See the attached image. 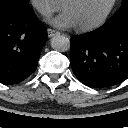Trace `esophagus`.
<instances>
[{
    "instance_id": "34e87169",
    "label": "esophagus",
    "mask_w": 128,
    "mask_h": 128,
    "mask_svg": "<svg viewBox=\"0 0 128 128\" xmlns=\"http://www.w3.org/2000/svg\"><path fill=\"white\" fill-rule=\"evenodd\" d=\"M47 33H48V37H53V36H55V35L60 34V32H58V31H56V30H54V29H51V28H48V29H47Z\"/></svg>"
}]
</instances>
